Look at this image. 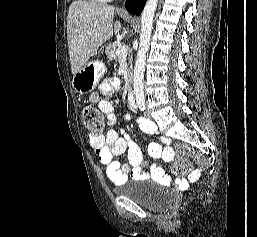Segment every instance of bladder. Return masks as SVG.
Masks as SVG:
<instances>
[{
  "mask_svg": "<svg viewBox=\"0 0 257 237\" xmlns=\"http://www.w3.org/2000/svg\"><path fill=\"white\" fill-rule=\"evenodd\" d=\"M140 183H148V181H126L117 187V192L120 196L148 209L160 208L170 201L171 196L164 189L155 191L142 187Z\"/></svg>",
  "mask_w": 257,
  "mask_h": 237,
  "instance_id": "obj_1",
  "label": "bladder"
}]
</instances>
